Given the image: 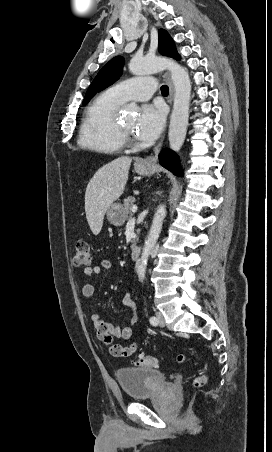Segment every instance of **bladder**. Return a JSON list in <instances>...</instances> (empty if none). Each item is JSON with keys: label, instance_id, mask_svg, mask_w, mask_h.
Instances as JSON below:
<instances>
[{"label": "bladder", "instance_id": "bladder-1", "mask_svg": "<svg viewBox=\"0 0 272 452\" xmlns=\"http://www.w3.org/2000/svg\"><path fill=\"white\" fill-rule=\"evenodd\" d=\"M116 377L130 399H142L157 393L167 384L164 373L153 368H122Z\"/></svg>", "mask_w": 272, "mask_h": 452}]
</instances>
